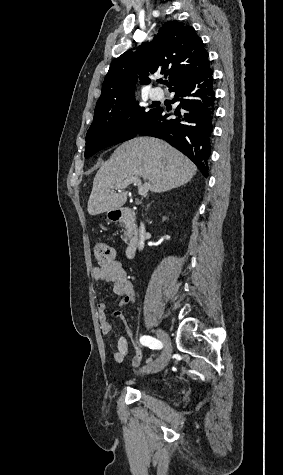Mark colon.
<instances>
[{
    "instance_id": "obj_1",
    "label": "colon",
    "mask_w": 283,
    "mask_h": 475,
    "mask_svg": "<svg viewBox=\"0 0 283 475\" xmlns=\"http://www.w3.org/2000/svg\"><path fill=\"white\" fill-rule=\"evenodd\" d=\"M94 257L99 266H108L115 262V251L112 246L98 243L94 246Z\"/></svg>"
}]
</instances>
